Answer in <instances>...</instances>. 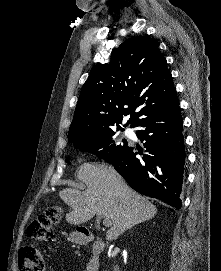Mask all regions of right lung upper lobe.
Instances as JSON below:
<instances>
[{
	"instance_id": "1",
	"label": "right lung upper lobe",
	"mask_w": 221,
	"mask_h": 271,
	"mask_svg": "<svg viewBox=\"0 0 221 271\" xmlns=\"http://www.w3.org/2000/svg\"><path fill=\"white\" fill-rule=\"evenodd\" d=\"M177 102L172 75L158 43L145 36L128 39L114 52L110 64H98L91 71L68 140L117 127L130 113L128 123L134 127L142 118Z\"/></svg>"
}]
</instances>
